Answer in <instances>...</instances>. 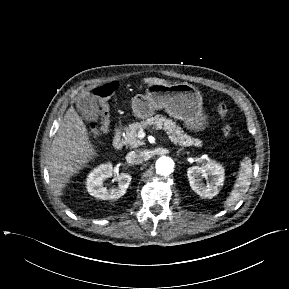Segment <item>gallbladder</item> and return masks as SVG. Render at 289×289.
Instances as JSON below:
<instances>
[{
    "label": "gallbladder",
    "instance_id": "bac80fb5",
    "mask_svg": "<svg viewBox=\"0 0 289 289\" xmlns=\"http://www.w3.org/2000/svg\"><path fill=\"white\" fill-rule=\"evenodd\" d=\"M77 110L87 121L95 122L99 118V106L97 100L91 94H87L78 100Z\"/></svg>",
    "mask_w": 289,
    "mask_h": 289
}]
</instances>
